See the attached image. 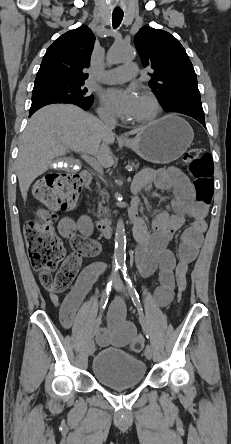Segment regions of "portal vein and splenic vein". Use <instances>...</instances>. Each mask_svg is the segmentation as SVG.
Listing matches in <instances>:
<instances>
[{"label":"portal vein and splenic vein","instance_id":"1","mask_svg":"<svg viewBox=\"0 0 231 444\" xmlns=\"http://www.w3.org/2000/svg\"><path fill=\"white\" fill-rule=\"evenodd\" d=\"M82 158L85 162H87L95 171H97L100 175H103V168L101 164L96 160V158L83 154Z\"/></svg>","mask_w":231,"mask_h":444}]
</instances>
